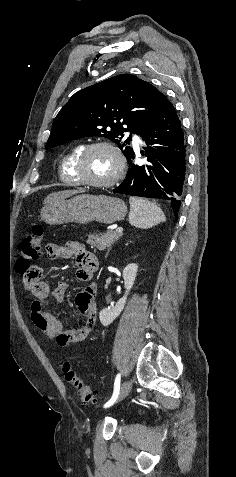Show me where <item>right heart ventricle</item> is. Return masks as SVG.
I'll list each match as a JSON object with an SVG mask.
<instances>
[{
    "instance_id": "obj_1",
    "label": "right heart ventricle",
    "mask_w": 236,
    "mask_h": 477,
    "mask_svg": "<svg viewBox=\"0 0 236 477\" xmlns=\"http://www.w3.org/2000/svg\"><path fill=\"white\" fill-rule=\"evenodd\" d=\"M82 149H83L82 145L74 146L69 151H67L61 159L58 172H59L60 179L66 184H69V185L80 184L74 172V163H75V159L77 155L80 153Z\"/></svg>"
}]
</instances>
